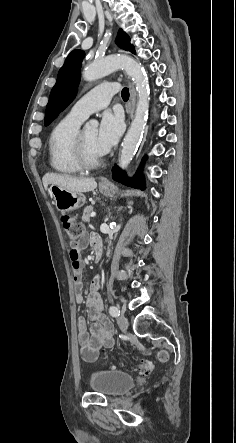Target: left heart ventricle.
<instances>
[{"label":"left heart ventricle","mask_w":236,"mask_h":443,"mask_svg":"<svg viewBox=\"0 0 236 443\" xmlns=\"http://www.w3.org/2000/svg\"><path fill=\"white\" fill-rule=\"evenodd\" d=\"M96 134L97 129L95 127H86L83 129L85 147L90 156L100 155L96 148Z\"/></svg>","instance_id":"b2bd125f"}]
</instances>
